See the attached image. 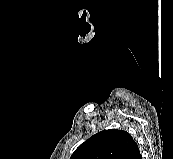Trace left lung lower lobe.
<instances>
[{
	"mask_svg": "<svg viewBox=\"0 0 173 159\" xmlns=\"http://www.w3.org/2000/svg\"><path fill=\"white\" fill-rule=\"evenodd\" d=\"M136 159H142L141 154L139 153V155L136 157Z\"/></svg>",
	"mask_w": 173,
	"mask_h": 159,
	"instance_id": "1",
	"label": "left lung lower lobe"
}]
</instances>
